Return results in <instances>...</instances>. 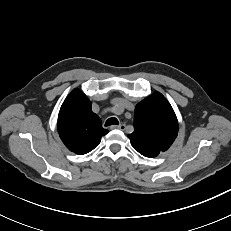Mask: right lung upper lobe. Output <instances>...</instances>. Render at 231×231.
<instances>
[{
    "label": "right lung upper lobe",
    "mask_w": 231,
    "mask_h": 231,
    "mask_svg": "<svg viewBox=\"0 0 231 231\" xmlns=\"http://www.w3.org/2000/svg\"><path fill=\"white\" fill-rule=\"evenodd\" d=\"M57 126L66 147L80 155L92 151L109 132L92 112L90 100L78 89H74L62 104Z\"/></svg>",
    "instance_id": "obj_1"
}]
</instances>
